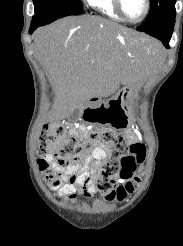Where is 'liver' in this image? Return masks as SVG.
<instances>
[{
  "label": "liver",
  "mask_w": 183,
  "mask_h": 246,
  "mask_svg": "<svg viewBox=\"0 0 183 246\" xmlns=\"http://www.w3.org/2000/svg\"><path fill=\"white\" fill-rule=\"evenodd\" d=\"M159 47L116 22L90 15L58 20L34 34L35 56L55 89L61 117L93 97L112 95L120 83L142 80Z\"/></svg>",
  "instance_id": "6515ba94"
}]
</instances>
